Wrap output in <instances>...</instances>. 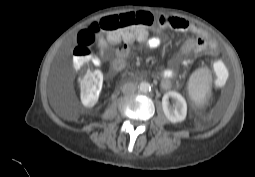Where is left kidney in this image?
Here are the masks:
<instances>
[{"instance_id": "1", "label": "left kidney", "mask_w": 255, "mask_h": 177, "mask_svg": "<svg viewBox=\"0 0 255 177\" xmlns=\"http://www.w3.org/2000/svg\"><path fill=\"white\" fill-rule=\"evenodd\" d=\"M169 98L174 99V104L170 105ZM162 108L166 118L172 123L182 122L186 118L187 104L181 94L169 91L162 98Z\"/></svg>"}]
</instances>
